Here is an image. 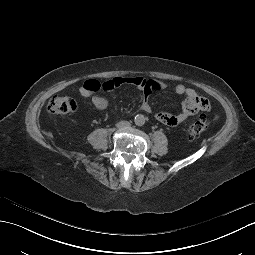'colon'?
Masks as SVG:
<instances>
[{
  "label": "colon",
  "mask_w": 255,
  "mask_h": 255,
  "mask_svg": "<svg viewBox=\"0 0 255 255\" xmlns=\"http://www.w3.org/2000/svg\"><path fill=\"white\" fill-rule=\"evenodd\" d=\"M78 104L75 99L68 96H54L47 105V109L52 114H69L77 110ZM210 127V122L203 116L193 120L187 128L189 137H198Z\"/></svg>",
  "instance_id": "1"
}]
</instances>
